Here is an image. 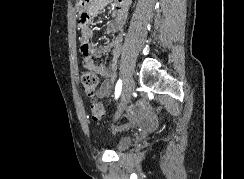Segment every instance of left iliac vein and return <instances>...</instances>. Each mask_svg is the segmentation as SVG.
<instances>
[{"label": "left iliac vein", "mask_w": 244, "mask_h": 179, "mask_svg": "<svg viewBox=\"0 0 244 179\" xmlns=\"http://www.w3.org/2000/svg\"><path fill=\"white\" fill-rule=\"evenodd\" d=\"M134 86H135V82L131 78L127 79L126 82L124 83L122 88L121 100L116 115L114 117V120L118 119V117L126 109L128 103L131 100Z\"/></svg>", "instance_id": "obj_1"}]
</instances>
